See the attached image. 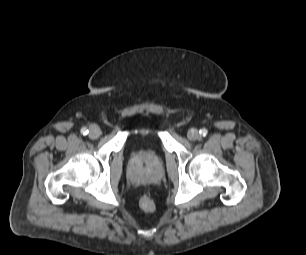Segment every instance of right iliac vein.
Returning <instances> with one entry per match:
<instances>
[{
  "label": "right iliac vein",
  "mask_w": 306,
  "mask_h": 255,
  "mask_svg": "<svg viewBox=\"0 0 306 255\" xmlns=\"http://www.w3.org/2000/svg\"><path fill=\"white\" fill-rule=\"evenodd\" d=\"M101 134V130L97 125H91L89 128V137L91 139H96Z\"/></svg>",
  "instance_id": "right-iliac-vein-1"
}]
</instances>
